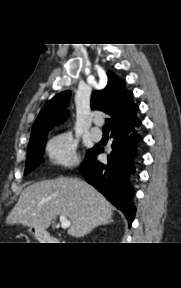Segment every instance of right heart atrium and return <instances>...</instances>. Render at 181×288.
Wrapping results in <instances>:
<instances>
[{
  "mask_svg": "<svg viewBox=\"0 0 181 288\" xmlns=\"http://www.w3.org/2000/svg\"><path fill=\"white\" fill-rule=\"evenodd\" d=\"M47 156L50 162L61 167H71L77 164V141L69 132L54 135L47 143Z\"/></svg>",
  "mask_w": 181,
  "mask_h": 288,
  "instance_id": "1",
  "label": "right heart atrium"
}]
</instances>
